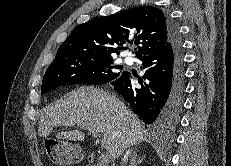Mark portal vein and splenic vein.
I'll return each instance as SVG.
<instances>
[{
  "mask_svg": "<svg viewBox=\"0 0 231 166\" xmlns=\"http://www.w3.org/2000/svg\"><path fill=\"white\" fill-rule=\"evenodd\" d=\"M92 134H93L95 137H100L99 132L93 131ZM100 158H101V161H102L103 163H105V164H107V165L110 163L111 156L109 155V153L103 152V153L101 154V157H100Z\"/></svg>",
  "mask_w": 231,
  "mask_h": 166,
  "instance_id": "1",
  "label": "portal vein and splenic vein"
}]
</instances>
